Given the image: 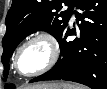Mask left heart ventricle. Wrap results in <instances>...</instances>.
<instances>
[{"label": "left heart ventricle", "mask_w": 107, "mask_h": 89, "mask_svg": "<svg viewBox=\"0 0 107 89\" xmlns=\"http://www.w3.org/2000/svg\"><path fill=\"white\" fill-rule=\"evenodd\" d=\"M49 58L48 44L43 40H36L23 48L19 55L18 66L22 73H32L44 67Z\"/></svg>", "instance_id": "obj_1"}]
</instances>
